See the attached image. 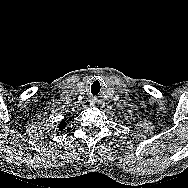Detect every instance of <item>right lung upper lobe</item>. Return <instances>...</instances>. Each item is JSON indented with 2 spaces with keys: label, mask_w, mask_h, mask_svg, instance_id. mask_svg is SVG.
Returning a JSON list of instances; mask_svg holds the SVG:
<instances>
[{
  "label": "right lung upper lobe",
  "mask_w": 188,
  "mask_h": 188,
  "mask_svg": "<svg viewBox=\"0 0 188 188\" xmlns=\"http://www.w3.org/2000/svg\"><path fill=\"white\" fill-rule=\"evenodd\" d=\"M66 125H67V123L63 120V121L60 122L58 128H59L60 130H63V129L66 127Z\"/></svg>",
  "instance_id": "obj_1"
}]
</instances>
